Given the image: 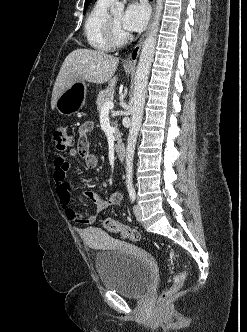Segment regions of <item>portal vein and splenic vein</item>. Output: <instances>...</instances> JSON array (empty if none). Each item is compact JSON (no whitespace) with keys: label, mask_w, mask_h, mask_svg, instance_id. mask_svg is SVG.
Returning <instances> with one entry per match:
<instances>
[{"label":"portal vein and splenic vein","mask_w":247,"mask_h":332,"mask_svg":"<svg viewBox=\"0 0 247 332\" xmlns=\"http://www.w3.org/2000/svg\"><path fill=\"white\" fill-rule=\"evenodd\" d=\"M114 107V103L113 101H107L104 103L103 107H102V110L103 111H106V110H110Z\"/></svg>","instance_id":"18ae733b"}]
</instances>
